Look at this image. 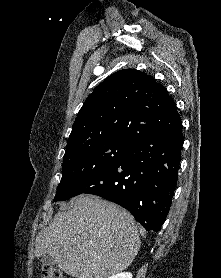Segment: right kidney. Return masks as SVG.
I'll return each instance as SVG.
<instances>
[{"instance_id":"ca27d5eb","label":"right kidney","mask_w":221,"mask_h":278,"mask_svg":"<svg viewBox=\"0 0 221 278\" xmlns=\"http://www.w3.org/2000/svg\"><path fill=\"white\" fill-rule=\"evenodd\" d=\"M109 278H132V274L130 272H122L116 275L110 276Z\"/></svg>"}]
</instances>
